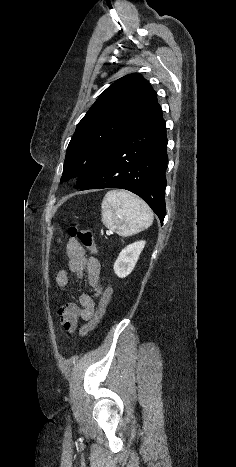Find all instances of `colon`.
<instances>
[{
    "label": "colon",
    "instance_id": "colon-1",
    "mask_svg": "<svg viewBox=\"0 0 236 467\" xmlns=\"http://www.w3.org/2000/svg\"><path fill=\"white\" fill-rule=\"evenodd\" d=\"M68 234L71 238L77 239L80 242V244L86 247L91 253L96 254L98 252L96 244L94 242L93 234L90 230L73 225L69 227ZM109 299L110 291H107L103 295L99 303V307L91 321L80 328L81 336H86L91 330H93L98 325L105 312Z\"/></svg>",
    "mask_w": 236,
    "mask_h": 467
}]
</instances>
